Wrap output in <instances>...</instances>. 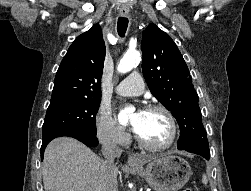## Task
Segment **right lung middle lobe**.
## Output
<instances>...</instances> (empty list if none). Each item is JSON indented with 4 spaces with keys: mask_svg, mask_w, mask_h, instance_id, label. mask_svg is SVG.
Wrapping results in <instances>:
<instances>
[{
    "mask_svg": "<svg viewBox=\"0 0 251 191\" xmlns=\"http://www.w3.org/2000/svg\"><path fill=\"white\" fill-rule=\"evenodd\" d=\"M100 101H76L49 106L42 126L43 139L70 129L96 134L95 116Z\"/></svg>",
    "mask_w": 251,
    "mask_h": 191,
    "instance_id": "dd1d6c3e",
    "label": "right lung middle lobe"
}]
</instances>
